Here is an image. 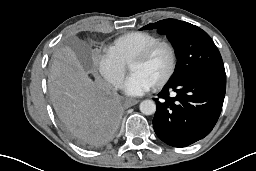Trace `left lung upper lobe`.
Returning <instances> with one entry per match:
<instances>
[{"label": "left lung upper lobe", "instance_id": "left-lung-upper-lobe-1", "mask_svg": "<svg viewBox=\"0 0 256 171\" xmlns=\"http://www.w3.org/2000/svg\"><path fill=\"white\" fill-rule=\"evenodd\" d=\"M154 28L160 34L167 35L175 48L177 64L169 83L196 71L224 70L217 47L210 36L199 27L176 19H165L148 24L141 30Z\"/></svg>", "mask_w": 256, "mask_h": 171}]
</instances>
